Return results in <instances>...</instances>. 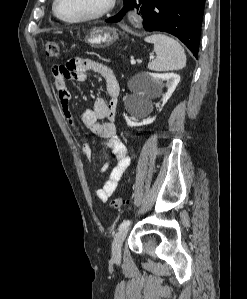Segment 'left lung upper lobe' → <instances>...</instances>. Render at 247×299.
<instances>
[{"mask_svg":"<svg viewBox=\"0 0 247 299\" xmlns=\"http://www.w3.org/2000/svg\"><path fill=\"white\" fill-rule=\"evenodd\" d=\"M124 1V6L128 5L131 0H123Z\"/></svg>","mask_w":247,"mask_h":299,"instance_id":"5c2ea615","label":"left lung upper lobe"}]
</instances>
